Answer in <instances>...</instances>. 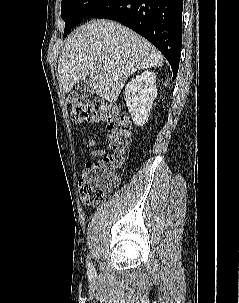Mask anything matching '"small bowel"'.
<instances>
[{
    "instance_id": "1",
    "label": "small bowel",
    "mask_w": 239,
    "mask_h": 303,
    "mask_svg": "<svg viewBox=\"0 0 239 303\" xmlns=\"http://www.w3.org/2000/svg\"><path fill=\"white\" fill-rule=\"evenodd\" d=\"M88 147L92 149L91 154L94 156L101 155L103 153L102 150L94 147V143H89Z\"/></svg>"
}]
</instances>
